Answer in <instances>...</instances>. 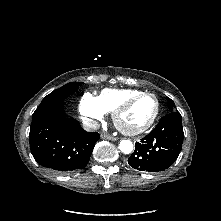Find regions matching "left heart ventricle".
<instances>
[{"label":"left heart ventricle","instance_id":"left-heart-ventricle-1","mask_svg":"<svg viewBox=\"0 0 221 221\" xmlns=\"http://www.w3.org/2000/svg\"><path fill=\"white\" fill-rule=\"evenodd\" d=\"M156 101L152 96H145L135 101L120 117V123L127 129L144 126L153 116Z\"/></svg>","mask_w":221,"mask_h":221}]
</instances>
